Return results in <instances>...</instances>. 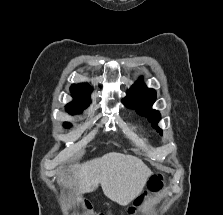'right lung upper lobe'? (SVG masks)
<instances>
[{"mask_svg": "<svg viewBox=\"0 0 223 215\" xmlns=\"http://www.w3.org/2000/svg\"><path fill=\"white\" fill-rule=\"evenodd\" d=\"M91 89L85 84H73L71 93L74 101L67 104L66 109H83L90 103L89 94Z\"/></svg>", "mask_w": 223, "mask_h": 215, "instance_id": "right-lung-upper-lobe-1", "label": "right lung upper lobe"}]
</instances>
